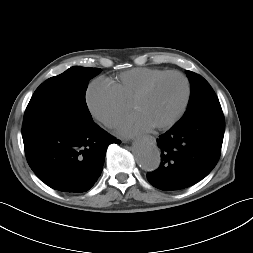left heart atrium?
Instances as JSON below:
<instances>
[{"instance_id": "39dd6f15", "label": "left heart atrium", "mask_w": 253, "mask_h": 253, "mask_svg": "<svg viewBox=\"0 0 253 253\" xmlns=\"http://www.w3.org/2000/svg\"><path fill=\"white\" fill-rule=\"evenodd\" d=\"M154 126L142 115L134 113L117 124V131L123 136H132L141 132H145Z\"/></svg>"}]
</instances>
